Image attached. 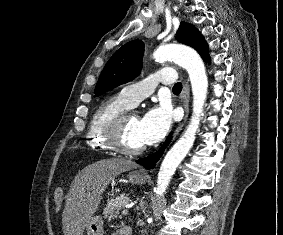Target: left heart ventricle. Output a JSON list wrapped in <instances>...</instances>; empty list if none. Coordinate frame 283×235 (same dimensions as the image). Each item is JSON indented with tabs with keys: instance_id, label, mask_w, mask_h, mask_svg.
I'll list each match as a JSON object with an SVG mask.
<instances>
[{
	"instance_id": "1",
	"label": "left heart ventricle",
	"mask_w": 283,
	"mask_h": 235,
	"mask_svg": "<svg viewBox=\"0 0 283 235\" xmlns=\"http://www.w3.org/2000/svg\"><path fill=\"white\" fill-rule=\"evenodd\" d=\"M138 125V116L131 114L125 123L122 134V141L128 148H138L144 145L139 134Z\"/></svg>"
}]
</instances>
